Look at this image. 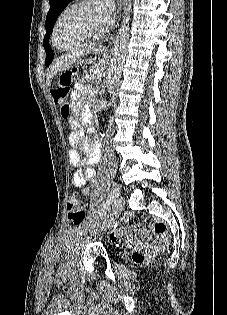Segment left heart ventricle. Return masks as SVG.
I'll return each mask as SVG.
<instances>
[{"label": "left heart ventricle", "instance_id": "left-heart-ventricle-1", "mask_svg": "<svg viewBox=\"0 0 227 315\" xmlns=\"http://www.w3.org/2000/svg\"><path fill=\"white\" fill-rule=\"evenodd\" d=\"M105 23V16L98 3L75 7L60 22L56 43L59 47L81 43L97 34Z\"/></svg>", "mask_w": 227, "mask_h": 315}]
</instances>
